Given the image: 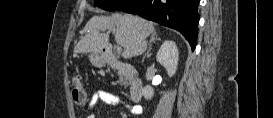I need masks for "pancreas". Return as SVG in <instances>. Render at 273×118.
<instances>
[{
	"instance_id": "cf45deb5",
	"label": "pancreas",
	"mask_w": 273,
	"mask_h": 118,
	"mask_svg": "<svg viewBox=\"0 0 273 118\" xmlns=\"http://www.w3.org/2000/svg\"><path fill=\"white\" fill-rule=\"evenodd\" d=\"M119 81H120L121 85H124L125 87L128 86V82H127V80L125 79L124 76L120 75Z\"/></svg>"
}]
</instances>
